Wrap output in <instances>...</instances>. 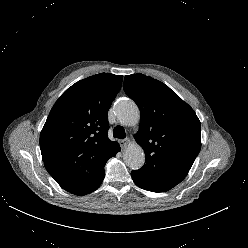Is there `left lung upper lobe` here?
Wrapping results in <instances>:
<instances>
[{
	"label": "left lung upper lobe",
	"mask_w": 248,
	"mask_h": 248,
	"mask_svg": "<svg viewBox=\"0 0 248 248\" xmlns=\"http://www.w3.org/2000/svg\"><path fill=\"white\" fill-rule=\"evenodd\" d=\"M124 91L141 112L134 136L146 157L136 171L140 183L148 191H168L186 177L200 151V121L186 102L152 77L127 75Z\"/></svg>",
	"instance_id": "1"
}]
</instances>
